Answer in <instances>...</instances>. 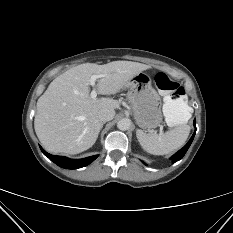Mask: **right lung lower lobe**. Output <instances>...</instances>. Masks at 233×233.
<instances>
[{"label":"right lung lower lobe","mask_w":233,"mask_h":233,"mask_svg":"<svg viewBox=\"0 0 233 233\" xmlns=\"http://www.w3.org/2000/svg\"><path fill=\"white\" fill-rule=\"evenodd\" d=\"M41 151L43 152L45 156H47L55 164H57L58 166L62 168H66V169H78V168L87 166L88 164L93 162L98 157V155H94V156H90L84 159L71 160L64 156L51 155L47 153L43 148H41Z\"/></svg>","instance_id":"1"}]
</instances>
